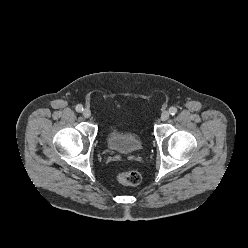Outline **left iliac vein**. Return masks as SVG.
Wrapping results in <instances>:
<instances>
[{
  "mask_svg": "<svg viewBox=\"0 0 248 248\" xmlns=\"http://www.w3.org/2000/svg\"><path fill=\"white\" fill-rule=\"evenodd\" d=\"M169 112L168 111H164V112H162V114H161V120L162 121H166V120H168V118H169Z\"/></svg>",
  "mask_w": 248,
  "mask_h": 248,
  "instance_id": "4c4485c4",
  "label": "left iliac vein"
}]
</instances>
